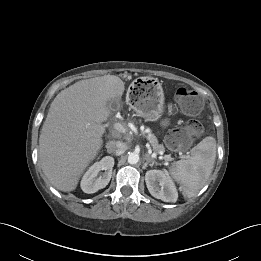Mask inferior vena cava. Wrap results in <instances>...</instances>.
Listing matches in <instances>:
<instances>
[{
	"instance_id": "1",
	"label": "inferior vena cava",
	"mask_w": 261,
	"mask_h": 261,
	"mask_svg": "<svg viewBox=\"0 0 261 261\" xmlns=\"http://www.w3.org/2000/svg\"><path fill=\"white\" fill-rule=\"evenodd\" d=\"M106 148L108 153L115 155H121L127 149L126 145L120 141H109L106 143Z\"/></svg>"
}]
</instances>
